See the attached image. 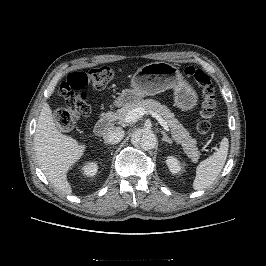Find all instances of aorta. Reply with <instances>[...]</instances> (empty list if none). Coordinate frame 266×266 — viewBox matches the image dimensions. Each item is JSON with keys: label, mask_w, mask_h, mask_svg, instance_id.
Wrapping results in <instances>:
<instances>
[{"label": "aorta", "mask_w": 266, "mask_h": 266, "mask_svg": "<svg viewBox=\"0 0 266 266\" xmlns=\"http://www.w3.org/2000/svg\"><path fill=\"white\" fill-rule=\"evenodd\" d=\"M156 141V136L151 130L136 132L132 136V142L146 151L153 149Z\"/></svg>", "instance_id": "762f6f07"}]
</instances>
